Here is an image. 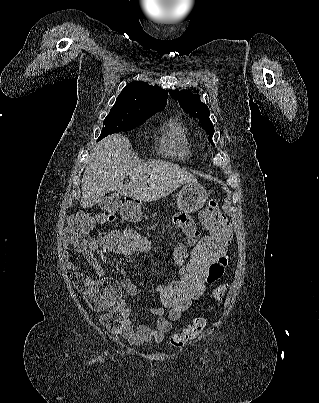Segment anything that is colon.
Listing matches in <instances>:
<instances>
[{
	"label": "colon",
	"instance_id": "colon-1",
	"mask_svg": "<svg viewBox=\"0 0 319 403\" xmlns=\"http://www.w3.org/2000/svg\"><path fill=\"white\" fill-rule=\"evenodd\" d=\"M106 199L108 201L103 203V207L99 208L94 216L79 213L70 217L66 228L69 239L64 240V247L77 248L84 253L104 254V258H121V254H125L127 260H132L134 254H156L159 243L152 240L151 234H140L139 226H114L113 229H100L95 236L86 238L94 220L111 222L113 217H116L117 210L121 209V195L108 192ZM199 219L209 231H205V238H199V241L194 243L191 258H187L183 275L177 278V282L158 283V290L161 291L157 305L158 313H187L188 309H194V300L207 296L205 280L211 274L210 263L219 258L222 253L226 254L231 243L234 242L232 219L224 217L216 201H211L208 207L200 212ZM73 281L86 296L90 278L77 272L73 275ZM226 291L227 285L217 282L212 291V298L221 300ZM195 317L189 326L170 336V345L182 346L204 333L210 314L201 312Z\"/></svg>",
	"mask_w": 319,
	"mask_h": 403
}]
</instances>
